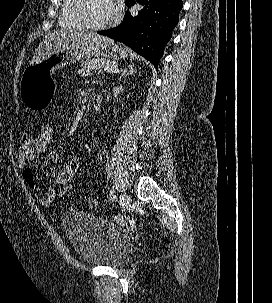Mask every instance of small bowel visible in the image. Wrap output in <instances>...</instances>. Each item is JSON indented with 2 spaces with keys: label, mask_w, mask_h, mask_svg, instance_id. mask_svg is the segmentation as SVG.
<instances>
[{
  "label": "small bowel",
  "mask_w": 272,
  "mask_h": 303,
  "mask_svg": "<svg viewBox=\"0 0 272 303\" xmlns=\"http://www.w3.org/2000/svg\"><path fill=\"white\" fill-rule=\"evenodd\" d=\"M83 148L85 152H91V148L88 144H85ZM39 156L45 158V161L41 165L43 168L51 164H56L60 160V154L54 147L41 144L37 138L31 135H24L21 138L16 153V161L18 163V166L20 168H24L28 162L35 160ZM55 197L56 195L53 187L50 186L47 189L46 193L40 198V203L44 207H50Z\"/></svg>",
  "instance_id": "c3829d8e"
}]
</instances>
